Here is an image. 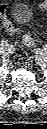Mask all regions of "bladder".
<instances>
[{"mask_svg":"<svg viewBox=\"0 0 47 129\" xmlns=\"http://www.w3.org/2000/svg\"><path fill=\"white\" fill-rule=\"evenodd\" d=\"M33 18V13L28 5L18 2L13 5L12 19L17 25H28Z\"/></svg>","mask_w":47,"mask_h":129,"instance_id":"1","label":"bladder"}]
</instances>
